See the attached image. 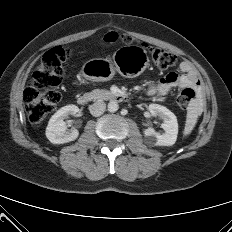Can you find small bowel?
I'll list each match as a JSON object with an SVG mask.
<instances>
[{
  "label": "small bowel",
  "instance_id": "c3829d8e",
  "mask_svg": "<svg viewBox=\"0 0 232 232\" xmlns=\"http://www.w3.org/2000/svg\"><path fill=\"white\" fill-rule=\"evenodd\" d=\"M194 88L201 91V82L197 72L188 60H183L179 65V73L170 72L163 76L156 84L147 88V93L152 96H166L173 88Z\"/></svg>",
  "mask_w": 232,
  "mask_h": 232
}]
</instances>
